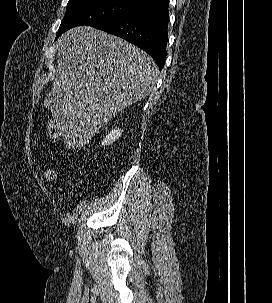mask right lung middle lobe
I'll return each instance as SVG.
<instances>
[{"label":"right lung middle lobe","instance_id":"obj_1","mask_svg":"<svg viewBox=\"0 0 272 303\" xmlns=\"http://www.w3.org/2000/svg\"><path fill=\"white\" fill-rule=\"evenodd\" d=\"M137 8L136 3L128 0H69L56 38L73 27L91 26Z\"/></svg>","mask_w":272,"mask_h":303}]
</instances>
